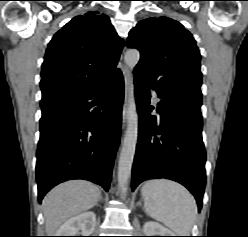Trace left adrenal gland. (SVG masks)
<instances>
[{"label": "left adrenal gland", "mask_w": 248, "mask_h": 237, "mask_svg": "<svg viewBox=\"0 0 248 237\" xmlns=\"http://www.w3.org/2000/svg\"><path fill=\"white\" fill-rule=\"evenodd\" d=\"M138 206H142L141 200L137 203ZM144 208V207H143Z\"/></svg>", "instance_id": "1"}]
</instances>
